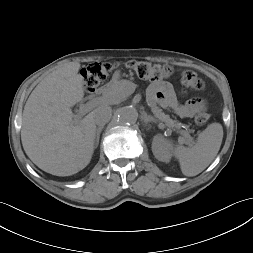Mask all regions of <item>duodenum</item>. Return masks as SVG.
I'll use <instances>...</instances> for the list:
<instances>
[{
    "instance_id": "410a0bca",
    "label": "duodenum",
    "mask_w": 253,
    "mask_h": 253,
    "mask_svg": "<svg viewBox=\"0 0 253 253\" xmlns=\"http://www.w3.org/2000/svg\"><path fill=\"white\" fill-rule=\"evenodd\" d=\"M102 92H103V89H100L99 92H98V94H101Z\"/></svg>"
}]
</instances>
